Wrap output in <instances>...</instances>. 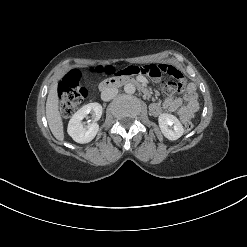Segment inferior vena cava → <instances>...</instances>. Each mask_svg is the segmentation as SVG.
<instances>
[{
	"mask_svg": "<svg viewBox=\"0 0 247 247\" xmlns=\"http://www.w3.org/2000/svg\"><path fill=\"white\" fill-rule=\"evenodd\" d=\"M118 93V89L114 87L106 88L104 91L101 93V99L103 101H109L112 98H114Z\"/></svg>",
	"mask_w": 247,
	"mask_h": 247,
	"instance_id": "obj_1",
	"label": "inferior vena cava"
}]
</instances>
